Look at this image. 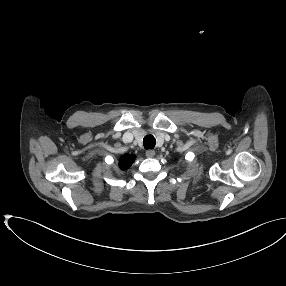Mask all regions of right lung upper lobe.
<instances>
[{
  "mask_svg": "<svg viewBox=\"0 0 286 286\" xmlns=\"http://www.w3.org/2000/svg\"><path fill=\"white\" fill-rule=\"evenodd\" d=\"M135 156L126 154L119 159V167L123 170L128 169L134 162Z\"/></svg>",
  "mask_w": 286,
  "mask_h": 286,
  "instance_id": "right-lung-upper-lobe-1",
  "label": "right lung upper lobe"
}]
</instances>
